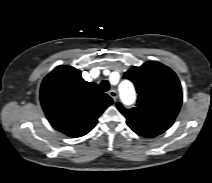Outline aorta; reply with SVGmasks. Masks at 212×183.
<instances>
[{"mask_svg": "<svg viewBox=\"0 0 212 183\" xmlns=\"http://www.w3.org/2000/svg\"><path fill=\"white\" fill-rule=\"evenodd\" d=\"M120 92L125 100L132 101L135 97L134 88L128 81H123L120 85Z\"/></svg>", "mask_w": 212, "mask_h": 183, "instance_id": "aorta-1", "label": "aorta"}]
</instances>
